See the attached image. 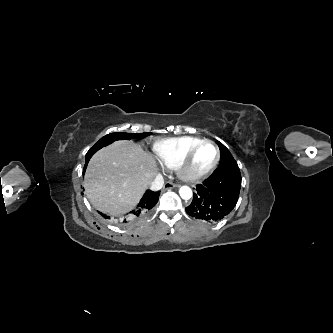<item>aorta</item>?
<instances>
[{"mask_svg":"<svg viewBox=\"0 0 333 333\" xmlns=\"http://www.w3.org/2000/svg\"><path fill=\"white\" fill-rule=\"evenodd\" d=\"M182 199L188 200L192 197V190L188 186H182L179 190Z\"/></svg>","mask_w":333,"mask_h":333,"instance_id":"aorta-1","label":"aorta"}]
</instances>
